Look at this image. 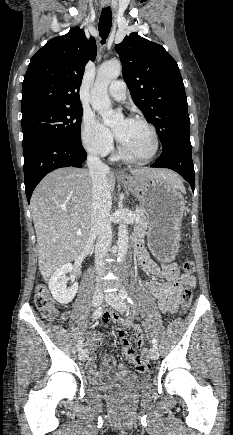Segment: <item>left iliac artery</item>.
Masks as SVG:
<instances>
[{"instance_id":"44dca946","label":"left iliac artery","mask_w":233,"mask_h":435,"mask_svg":"<svg viewBox=\"0 0 233 435\" xmlns=\"http://www.w3.org/2000/svg\"><path fill=\"white\" fill-rule=\"evenodd\" d=\"M119 295L121 296V298L126 299L128 301V303H130L131 305H134V301L128 296V293L126 291V289L122 288L120 290ZM152 345L157 348L158 347V343L157 340L155 338L152 339Z\"/></svg>"}]
</instances>
